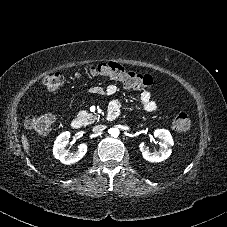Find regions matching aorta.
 Here are the masks:
<instances>
[{
  "label": "aorta",
  "mask_w": 227,
  "mask_h": 227,
  "mask_svg": "<svg viewBox=\"0 0 227 227\" xmlns=\"http://www.w3.org/2000/svg\"><path fill=\"white\" fill-rule=\"evenodd\" d=\"M110 134L113 137H118L119 136V129L118 128L111 129Z\"/></svg>",
  "instance_id": "aorta-1"
}]
</instances>
